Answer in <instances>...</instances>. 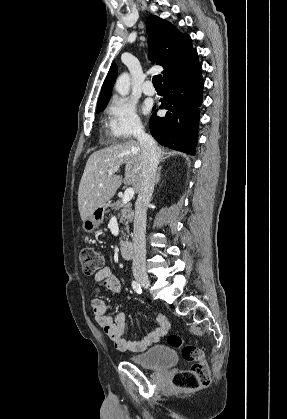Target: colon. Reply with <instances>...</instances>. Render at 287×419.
<instances>
[{
	"label": "colon",
	"mask_w": 287,
	"mask_h": 419,
	"mask_svg": "<svg viewBox=\"0 0 287 419\" xmlns=\"http://www.w3.org/2000/svg\"><path fill=\"white\" fill-rule=\"evenodd\" d=\"M80 262L86 275H92L102 270L105 265L104 255L93 247H85L80 252ZM167 343L173 348H180L185 361L191 363L188 370L176 372L171 377V384L176 388L196 390L209 383L210 371L205 354L194 344L185 343L183 338L171 334Z\"/></svg>",
	"instance_id": "1"
}]
</instances>
